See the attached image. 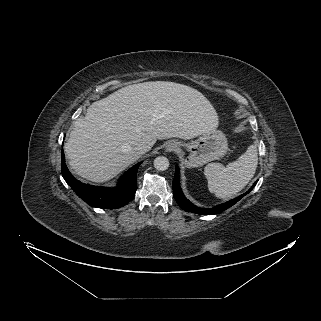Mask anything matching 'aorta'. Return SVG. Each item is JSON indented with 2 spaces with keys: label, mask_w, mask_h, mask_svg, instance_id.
<instances>
[{
  "label": "aorta",
  "mask_w": 321,
  "mask_h": 321,
  "mask_svg": "<svg viewBox=\"0 0 321 321\" xmlns=\"http://www.w3.org/2000/svg\"><path fill=\"white\" fill-rule=\"evenodd\" d=\"M154 167L159 171H164L169 167V160L164 156H158L154 160Z\"/></svg>",
  "instance_id": "1"
}]
</instances>
